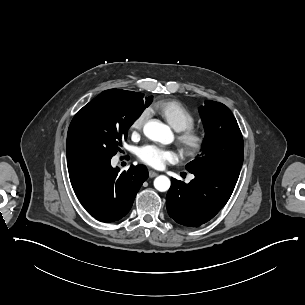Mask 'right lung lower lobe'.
I'll return each mask as SVG.
<instances>
[{"instance_id": "1", "label": "right lung lower lobe", "mask_w": 305, "mask_h": 305, "mask_svg": "<svg viewBox=\"0 0 305 305\" xmlns=\"http://www.w3.org/2000/svg\"><path fill=\"white\" fill-rule=\"evenodd\" d=\"M69 177L76 196L84 208L101 222H114L124 217L143 182L148 178L143 165L131 166L118 174L110 162L68 163Z\"/></svg>"}]
</instances>
